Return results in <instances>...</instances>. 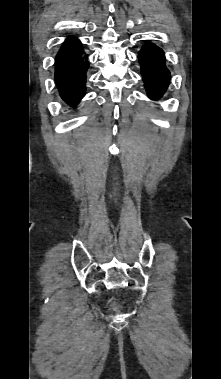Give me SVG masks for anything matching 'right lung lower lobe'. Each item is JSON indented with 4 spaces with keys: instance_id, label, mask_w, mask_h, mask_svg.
<instances>
[{
    "instance_id": "obj_1",
    "label": "right lung lower lobe",
    "mask_w": 221,
    "mask_h": 379,
    "mask_svg": "<svg viewBox=\"0 0 221 379\" xmlns=\"http://www.w3.org/2000/svg\"><path fill=\"white\" fill-rule=\"evenodd\" d=\"M87 57L78 39L68 37L56 56L55 81L62 99L76 106L85 94Z\"/></svg>"
}]
</instances>
